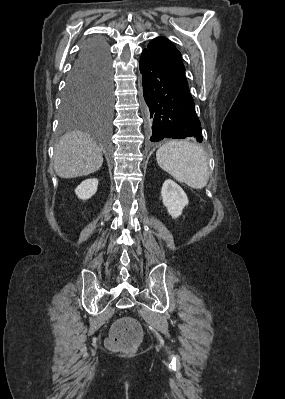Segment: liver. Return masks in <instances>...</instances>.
Instances as JSON below:
<instances>
[{
	"label": "liver",
	"instance_id": "6515ba94",
	"mask_svg": "<svg viewBox=\"0 0 285 399\" xmlns=\"http://www.w3.org/2000/svg\"><path fill=\"white\" fill-rule=\"evenodd\" d=\"M53 162L55 172L61 178L86 176L102 167V148L89 134L70 132L56 144Z\"/></svg>",
	"mask_w": 285,
	"mask_h": 399
}]
</instances>
